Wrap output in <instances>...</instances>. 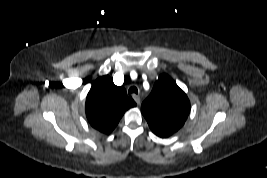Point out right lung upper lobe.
Here are the masks:
<instances>
[{"instance_id":"cb5924a9","label":"right lung upper lobe","mask_w":267,"mask_h":178,"mask_svg":"<svg viewBox=\"0 0 267 178\" xmlns=\"http://www.w3.org/2000/svg\"><path fill=\"white\" fill-rule=\"evenodd\" d=\"M134 100L122 86H116L108 76L99 77L86 98V116L93 128L110 134L128 109L135 107Z\"/></svg>"}]
</instances>
